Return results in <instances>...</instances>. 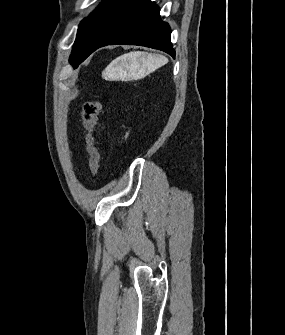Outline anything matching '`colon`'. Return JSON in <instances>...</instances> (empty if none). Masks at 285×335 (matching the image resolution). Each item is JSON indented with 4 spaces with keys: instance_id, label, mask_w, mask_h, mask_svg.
<instances>
[{
    "instance_id": "5ec220e1",
    "label": "colon",
    "mask_w": 285,
    "mask_h": 335,
    "mask_svg": "<svg viewBox=\"0 0 285 335\" xmlns=\"http://www.w3.org/2000/svg\"><path fill=\"white\" fill-rule=\"evenodd\" d=\"M102 110L101 99L86 101L82 107L81 119L85 129L89 166L92 176L97 178L100 167V155L96 145L95 130Z\"/></svg>"
}]
</instances>
